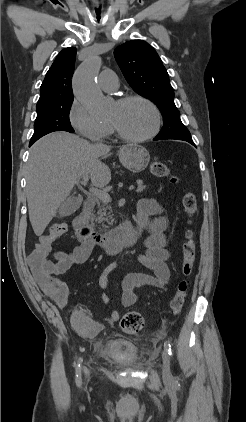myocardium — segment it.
<instances>
[{"mask_svg": "<svg viewBox=\"0 0 246 422\" xmlns=\"http://www.w3.org/2000/svg\"><path fill=\"white\" fill-rule=\"evenodd\" d=\"M130 102H142L146 104L147 106H149L154 113V117H155L154 125L148 133L142 136H132L123 132L114 123L110 122V125L115 131V133L117 134V136L125 141L134 142V143L145 142L153 138L154 136H156L161 128V123H162V115L157 105L149 98L141 96V95H127V96H123L119 98L116 101L118 105H125Z\"/></svg>", "mask_w": 246, "mask_h": 422, "instance_id": "1", "label": "myocardium"}]
</instances>
